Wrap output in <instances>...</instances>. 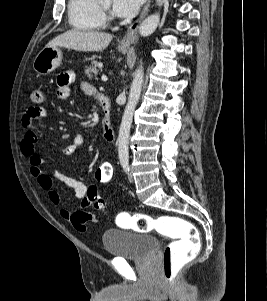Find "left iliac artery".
<instances>
[{
	"label": "left iliac artery",
	"instance_id": "obj_1",
	"mask_svg": "<svg viewBox=\"0 0 267 301\" xmlns=\"http://www.w3.org/2000/svg\"><path fill=\"white\" fill-rule=\"evenodd\" d=\"M121 164H122V167H123L124 171L129 172L128 161H123Z\"/></svg>",
	"mask_w": 267,
	"mask_h": 301
}]
</instances>
